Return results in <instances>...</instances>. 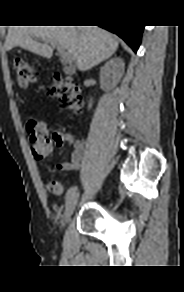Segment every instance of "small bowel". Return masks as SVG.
Segmentation results:
<instances>
[{"label":"small bowel","instance_id":"obj_1","mask_svg":"<svg viewBox=\"0 0 184 292\" xmlns=\"http://www.w3.org/2000/svg\"><path fill=\"white\" fill-rule=\"evenodd\" d=\"M52 140L57 146L68 145L73 150L71 160L58 165V170L62 172L77 170L81 167L83 161V142L77 140L70 133L53 131ZM63 192V191H62Z\"/></svg>","mask_w":184,"mask_h":292}]
</instances>
